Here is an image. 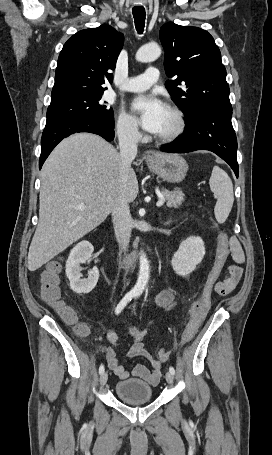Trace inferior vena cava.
<instances>
[{"instance_id":"602c4592","label":"inferior vena cava","mask_w":272,"mask_h":455,"mask_svg":"<svg viewBox=\"0 0 272 455\" xmlns=\"http://www.w3.org/2000/svg\"><path fill=\"white\" fill-rule=\"evenodd\" d=\"M119 148H120V184L123 188L125 183L127 172L131 167L132 160L137 155V136L134 128L128 127L118 132ZM112 221L114 225V232L122 251H126L129 246L131 237V214L129 209V203L124 197L122 192L113 207L112 210Z\"/></svg>"}]
</instances>
